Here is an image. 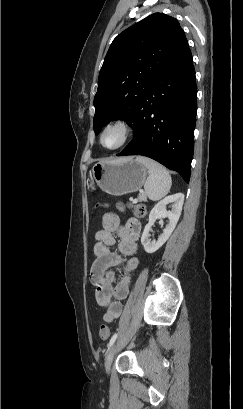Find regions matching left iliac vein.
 Returning a JSON list of instances; mask_svg holds the SVG:
<instances>
[{"instance_id":"1","label":"left iliac vein","mask_w":243,"mask_h":409,"mask_svg":"<svg viewBox=\"0 0 243 409\" xmlns=\"http://www.w3.org/2000/svg\"><path fill=\"white\" fill-rule=\"evenodd\" d=\"M117 344H118V342L113 343V345L109 348V350H108V352H107V354L105 356L104 365H105V370H106L107 374L110 373L112 361H113V358H114V355H115V352H116V349H117Z\"/></svg>"}]
</instances>
